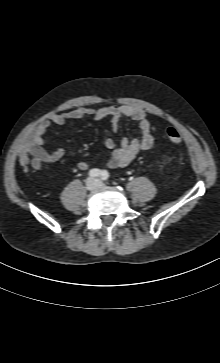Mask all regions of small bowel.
<instances>
[{
	"mask_svg": "<svg viewBox=\"0 0 220 363\" xmlns=\"http://www.w3.org/2000/svg\"><path fill=\"white\" fill-rule=\"evenodd\" d=\"M91 117L94 120H101L110 117L111 129L113 132L119 130V123L122 118H128L135 122L141 130L140 137L133 139L123 138L117 146L112 138H107L104 145L111 150L107 161L109 168L123 167L130 164L137 155L150 149L154 144L155 127L150 122L144 110L131 106H110L101 108L80 107L63 114H56L48 119L42 120L31 132L28 141L19 149V162L24 168L40 170L43 164H54L60 161L66 154L62 147L52 152H47L42 145L46 142V134L50 127L62 126L68 120L83 119ZM69 154H73L70 152ZM79 170H87L89 164L84 161L77 163Z\"/></svg>",
	"mask_w": 220,
	"mask_h": 363,
	"instance_id": "c3829d8e",
	"label": "small bowel"
}]
</instances>
